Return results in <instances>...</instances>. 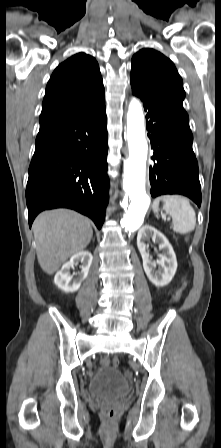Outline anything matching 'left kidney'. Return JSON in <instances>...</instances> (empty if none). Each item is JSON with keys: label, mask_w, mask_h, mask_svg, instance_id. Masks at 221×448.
Segmentation results:
<instances>
[{"label": "left kidney", "mask_w": 221, "mask_h": 448, "mask_svg": "<svg viewBox=\"0 0 221 448\" xmlns=\"http://www.w3.org/2000/svg\"><path fill=\"white\" fill-rule=\"evenodd\" d=\"M151 237L152 240L159 244V248L163 250L160 259L156 262L152 261L147 252L145 241ZM137 246L143 260V268L148 279L157 287H163L170 283L177 269V259L175 252L168 239L157 229L150 225H144L137 236ZM157 264L160 266L156 271Z\"/></svg>", "instance_id": "5707ae66"}]
</instances>
